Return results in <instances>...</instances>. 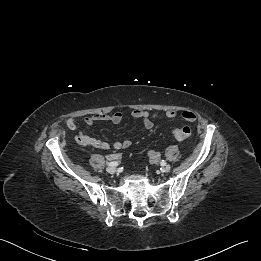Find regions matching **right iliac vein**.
<instances>
[{
    "label": "right iliac vein",
    "instance_id": "obj_1",
    "mask_svg": "<svg viewBox=\"0 0 261 261\" xmlns=\"http://www.w3.org/2000/svg\"><path fill=\"white\" fill-rule=\"evenodd\" d=\"M106 170L108 173L113 174V173H115L116 168L114 166H109V167H107Z\"/></svg>",
    "mask_w": 261,
    "mask_h": 261
}]
</instances>
